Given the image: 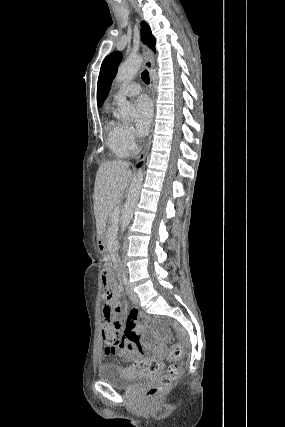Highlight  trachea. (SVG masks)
<instances>
[{"mask_svg":"<svg viewBox=\"0 0 285 427\" xmlns=\"http://www.w3.org/2000/svg\"><path fill=\"white\" fill-rule=\"evenodd\" d=\"M141 78H142V80H143L146 84H149V82H150V78H149V73H148V71H147V70H144V71L142 72V74H141Z\"/></svg>","mask_w":285,"mask_h":427,"instance_id":"1","label":"trachea"}]
</instances>
